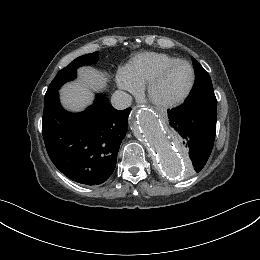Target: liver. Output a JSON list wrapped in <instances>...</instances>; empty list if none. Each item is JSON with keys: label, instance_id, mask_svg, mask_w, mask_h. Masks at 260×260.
<instances>
[{"label": "liver", "instance_id": "liver-1", "mask_svg": "<svg viewBox=\"0 0 260 260\" xmlns=\"http://www.w3.org/2000/svg\"><path fill=\"white\" fill-rule=\"evenodd\" d=\"M78 73L81 82L68 83L60 91L62 105L70 111H81L91 104V90H101L107 82L102 72L90 67H83Z\"/></svg>", "mask_w": 260, "mask_h": 260}]
</instances>
